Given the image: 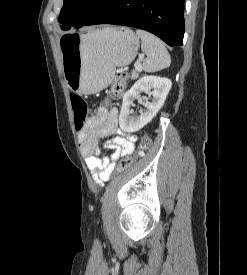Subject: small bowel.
<instances>
[{
    "instance_id": "obj_1",
    "label": "small bowel",
    "mask_w": 247,
    "mask_h": 275,
    "mask_svg": "<svg viewBox=\"0 0 247 275\" xmlns=\"http://www.w3.org/2000/svg\"><path fill=\"white\" fill-rule=\"evenodd\" d=\"M114 135L105 142V146L112 150L109 157H101L98 138ZM138 137L134 134H125L118 127V110L99 107L96 113L87 122L86 128L79 134V142L86 165L93 175L94 181L102 186L106 182L117 161L131 154L137 144Z\"/></svg>"
}]
</instances>
